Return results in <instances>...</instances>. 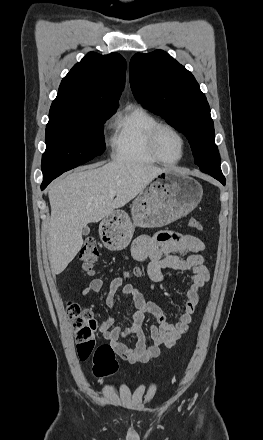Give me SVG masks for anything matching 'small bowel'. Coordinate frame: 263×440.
Instances as JSON below:
<instances>
[{
	"instance_id": "1",
	"label": "small bowel",
	"mask_w": 263,
	"mask_h": 440,
	"mask_svg": "<svg viewBox=\"0 0 263 440\" xmlns=\"http://www.w3.org/2000/svg\"><path fill=\"white\" fill-rule=\"evenodd\" d=\"M204 250L205 244L199 238L173 231H162L153 236L141 235L134 240L132 257L136 261H150L147 275L153 284L165 281L163 270L169 269L170 277L190 272V285L186 291V304L178 320L170 322L159 303L156 300H147L133 284L126 283L124 275L113 278L105 297L106 305L113 308L115 296L121 290L122 295L130 298L135 306L132 323L126 328L115 325L112 317L98 323L99 332L111 344L117 355L130 363L144 364L158 357L161 347H172L186 333L199 302V292L209 280V271L204 266V258L200 254ZM179 255H185V258ZM103 287V279L92 278L84 288L83 295L99 292ZM148 314L155 320L150 327L149 338L143 330V322ZM129 336L136 338L132 346H127L121 341Z\"/></svg>"
}]
</instances>
